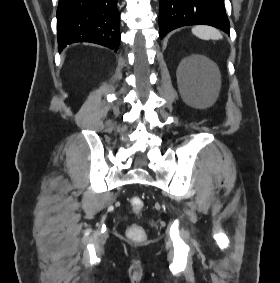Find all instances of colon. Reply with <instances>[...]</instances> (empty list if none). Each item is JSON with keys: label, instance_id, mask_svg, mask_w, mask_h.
<instances>
[{"label": "colon", "instance_id": "1", "mask_svg": "<svg viewBox=\"0 0 280 283\" xmlns=\"http://www.w3.org/2000/svg\"><path fill=\"white\" fill-rule=\"evenodd\" d=\"M130 207L133 212L139 214L144 207V201L140 197H133L130 199ZM128 236L132 239H142L144 237V230L143 228L138 225L134 224L129 227L128 229Z\"/></svg>", "mask_w": 280, "mask_h": 283}]
</instances>
